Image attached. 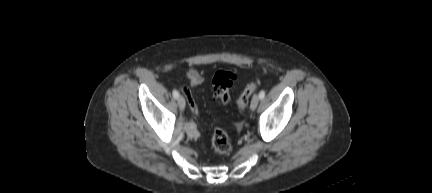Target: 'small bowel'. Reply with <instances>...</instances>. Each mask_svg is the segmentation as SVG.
<instances>
[{
	"instance_id": "obj_1",
	"label": "small bowel",
	"mask_w": 432,
	"mask_h": 193,
	"mask_svg": "<svg viewBox=\"0 0 432 193\" xmlns=\"http://www.w3.org/2000/svg\"><path fill=\"white\" fill-rule=\"evenodd\" d=\"M187 78L189 81V88L184 87L183 90H184V92L188 98V104H189L191 111L194 113H197L198 112V106H197L195 99L193 98V96L191 94L190 89H194L197 86H199L203 82V77L199 71H197L195 69H191L187 73ZM240 128H241L240 124L234 125V129L239 130Z\"/></svg>"
}]
</instances>
